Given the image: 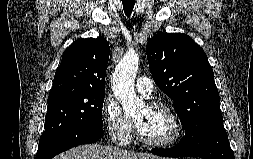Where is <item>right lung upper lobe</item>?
Returning <instances> with one entry per match:
<instances>
[{
    "label": "right lung upper lobe",
    "mask_w": 253,
    "mask_h": 159,
    "mask_svg": "<svg viewBox=\"0 0 253 159\" xmlns=\"http://www.w3.org/2000/svg\"><path fill=\"white\" fill-rule=\"evenodd\" d=\"M110 47L103 37L78 39L63 53L49 97L105 91Z\"/></svg>",
    "instance_id": "obj_1"
}]
</instances>
